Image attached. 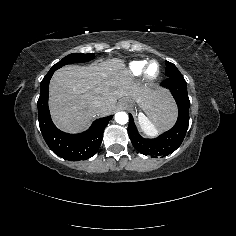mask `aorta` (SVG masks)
Masks as SVG:
<instances>
[{
  "mask_svg": "<svg viewBox=\"0 0 236 236\" xmlns=\"http://www.w3.org/2000/svg\"><path fill=\"white\" fill-rule=\"evenodd\" d=\"M114 118L118 124H126L128 122V115L124 111H118L115 113Z\"/></svg>",
  "mask_w": 236,
  "mask_h": 236,
  "instance_id": "1",
  "label": "aorta"
}]
</instances>
